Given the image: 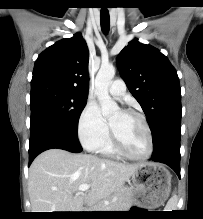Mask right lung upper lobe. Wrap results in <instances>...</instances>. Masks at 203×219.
Segmentation results:
<instances>
[{
    "label": "right lung upper lobe",
    "mask_w": 203,
    "mask_h": 219,
    "mask_svg": "<svg viewBox=\"0 0 203 219\" xmlns=\"http://www.w3.org/2000/svg\"><path fill=\"white\" fill-rule=\"evenodd\" d=\"M88 61L89 52L81 33L60 40L35 61L31 86L57 85L88 96Z\"/></svg>",
    "instance_id": "right-lung-upper-lobe-1"
}]
</instances>
